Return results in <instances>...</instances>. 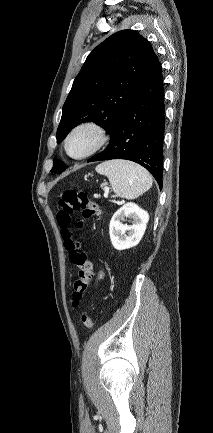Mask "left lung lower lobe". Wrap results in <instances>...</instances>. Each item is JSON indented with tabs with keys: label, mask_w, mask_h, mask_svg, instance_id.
<instances>
[{
	"label": "left lung lower lobe",
	"mask_w": 213,
	"mask_h": 433,
	"mask_svg": "<svg viewBox=\"0 0 213 433\" xmlns=\"http://www.w3.org/2000/svg\"><path fill=\"white\" fill-rule=\"evenodd\" d=\"M161 65L152 70L128 102L110 132V142L87 162L126 159L145 167L162 189L164 100Z\"/></svg>",
	"instance_id": "obj_1"
}]
</instances>
